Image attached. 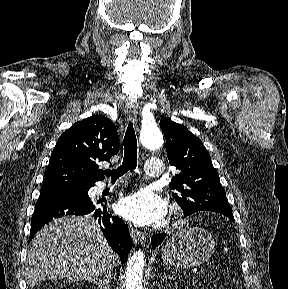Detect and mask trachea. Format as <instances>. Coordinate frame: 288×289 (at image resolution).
I'll use <instances>...</instances> for the list:
<instances>
[{
	"mask_svg": "<svg viewBox=\"0 0 288 289\" xmlns=\"http://www.w3.org/2000/svg\"><path fill=\"white\" fill-rule=\"evenodd\" d=\"M123 144L124 158L122 165L116 169L104 171V174L111 177L113 181L123 176L127 171L136 169L137 166V139L132 122H129L127 126Z\"/></svg>",
	"mask_w": 288,
	"mask_h": 289,
	"instance_id": "3493384b",
	"label": "trachea"
}]
</instances>
